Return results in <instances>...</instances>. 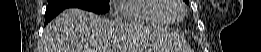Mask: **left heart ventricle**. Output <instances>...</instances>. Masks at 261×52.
<instances>
[{"label":"left heart ventricle","mask_w":261,"mask_h":52,"mask_svg":"<svg viewBox=\"0 0 261 52\" xmlns=\"http://www.w3.org/2000/svg\"><path fill=\"white\" fill-rule=\"evenodd\" d=\"M181 16H182V11L180 10V8H177L170 13L171 19H179Z\"/></svg>","instance_id":"left-heart-ventricle-1"}]
</instances>
